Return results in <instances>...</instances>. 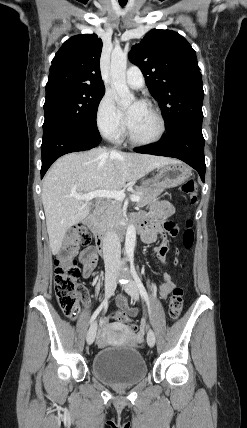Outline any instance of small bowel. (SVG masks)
<instances>
[{"mask_svg":"<svg viewBox=\"0 0 247 428\" xmlns=\"http://www.w3.org/2000/svg\"><path fill=\"white\" fill-rule=\"evenodd\" d=\"M174 209L170 202L168 201H160L153 205L152 210L140 216L145 222V228L141 233L142 240L146 243L153 242L157 232L161 228V224L164 225L165 229L170 233L174 234L176 229L172 226L170 222V217L173 215ZM168 252L167 243L163 242L160 245L156 246L153 249V253L157 260L162 263L164 266H168V260L166 258V254ZM80 259L83 265L82 274L84 278H89L97 264V252L94 248L85 249L81 255ZM175 287V283L168 272H164L163 274V282L160 285V297L162 299H166L168 295L173 291ZM118 304L120 309L125 310L128 308L126 306V299L124 297H120L118 299ZM137 309V308H134ZM134 324L133 322L131 323ZM103 329L107 328V323L103 322ZM141 339V335L133 332H129L127 341L131 344V342H138ZM97 344L100 347H104L109 344V340L104 335H99L97 337Z\"/></svg>","mask_w":247,"mask_h":428,"instance_id":"small-bowel-1","label":"small bowel"}]
</instances>
